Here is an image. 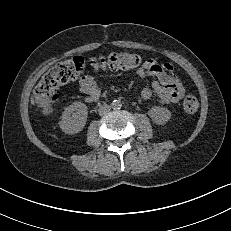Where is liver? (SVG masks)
<instances>
[{
    "label": "liver",
    "mask_w": 231,
    "mask_h": 231,
    "mask_svg": "<svg viewBox=\"0 0 231 231\" xmlns=\"http://www.w3.org/2000/svg\"><path fill=\"white\" fill-rule=\"evenodd\" d=\"M31 103L32 105H35L36 101L34 100V98L31 99Z\"/></svg>",
    "instance_id": "obj_1"
}]
</instances>
